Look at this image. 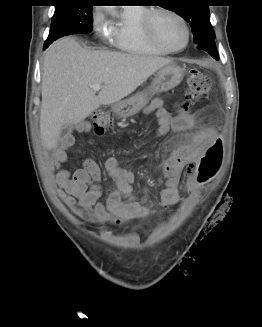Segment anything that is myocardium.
I'll return each mask as SVG.
<instances>
[{"mask_svg":"<svg viewBox=\"0 0 262 327\" xmlns=\"http://www.w3.org/2000/svg\"><path fill=\"white\" fill-rule=\"evenodd\" d=\"M158 13L170 14V15L176 17L183 24L185 31H186V40H185V43L183 44V46H181L180 48H175V49L169 48L158 38L155 28H154V18ZM141 23H142V29H143L145 35L147 36V38L151 41V43H153L156 47H158L159 49H161L167 53H178V52L184 50L190 42L191 30H190V27H189L186 19L179 12H177L171 8L162 7V6L150 8L144 14Z\"/></svg>","mask_w":262,"mask_h":327,"instance_id":"f54148a6","label":"myocardium"}]
</instances>
